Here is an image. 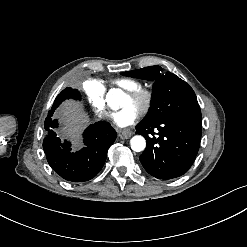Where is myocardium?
<instances>
[{
    "label": "myocardium",
    "mask_w": 247,
    "mask_h": 247,
    "mask_svg": "<svg viewBox=\"0 0 247 247\" xmlns=\"http://www.w3.org/2000/svg\"><path fill=\"white\" fill-rule=\"evenodd\" d=\"M131 100L138 103L143 112H148L152 106L153 94L146 89H136L130 94Z\"/></svg>",
    "instance_id": "f54148a6"
}]
</instances>
